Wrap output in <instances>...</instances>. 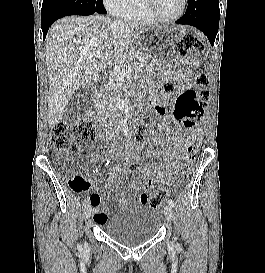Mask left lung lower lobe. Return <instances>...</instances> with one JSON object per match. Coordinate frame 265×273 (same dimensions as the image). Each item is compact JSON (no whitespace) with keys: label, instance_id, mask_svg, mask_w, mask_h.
<instances>
[{"label":"left lung lower lobe","instance_id":"0a47b994","mask_svg":"<svg viewBox=\"0 0 265 273\" xmlns=\"http://www.w3.org/2000/svg\"><path fill=\"white\" fill-rule=\"evenodd\" d=\"M219 18V0H188L186 13L177 24H188L200 29L213 46L218 32Z\"/></svg>","mask_w":265,"mask_h":273}]
</instances>
